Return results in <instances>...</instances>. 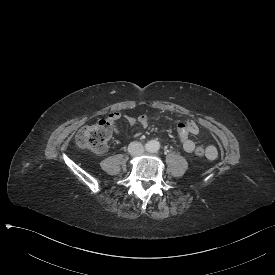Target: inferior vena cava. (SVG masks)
Here are the masks:
<instances>
[{"instance_id": "602c4592", "label": "inferior vena cava", "mask_w": 275, "mask_h": 275, "mask_svg": "<svg viewBox=\"0 0 275 275\" xmlns=\"http://www.w3.org/2000/svg\"><path fill=\"white\" fill-rule=\"evenodd\" d=\"M128 152L133 156H140L144 152V146L137 141H133L128 146Z\"/></svg>"}]
</instances>
